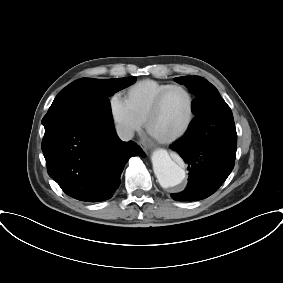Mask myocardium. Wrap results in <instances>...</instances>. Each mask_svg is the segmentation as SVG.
I'll list each match as a JSON object with an SVG mask.
<instances>
[{
    "label": "myocardium",
    "instance_id": "myocardium-1",
    "mask_svg": "<svg viewBox=\"0 0 283 283\" xmlns=\"http://www.w3.org/2000/svg\"><path fill=\"white\" fill-rule=\"evenodd\" d=\"M174 89H180L183 90L189 99V112H188V116L186 121L184 122L183 126L176 131L175 133L169 135V136H165V137H160V136H156L151 132V122L153 121V119L155 118V116L158 114L160 107L162 105V102L164 100V98L166 97V95ZM194 115H195V98L193 93L191 92V90L181 84H171L170 86H168L167 88H165L163 91H161L158 96L155 98L146 118L144 121V125H145V129L147 131L148 134H150L152 137H154L157 141L161 142V143H171L174 142L176 140H178L179 138H181L189 129L190 125L193 122L194 119Z\"/></svg>",
    "mask_w": 283,
    "mask_h": 283
}]
</instances>
